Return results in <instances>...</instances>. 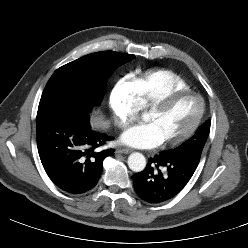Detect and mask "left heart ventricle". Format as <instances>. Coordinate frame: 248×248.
<instances>
[{"instance_id":"left-heart-ventricle-1","label":"left heart ventricle","mask_w":248,"mask_h":248,"mask_svg":"<svg viewBox=\"0 0 248 248\" xmlns=\"http://www.w3.org/2000/svg\"><path fill=\"white\" fill-rule=\"evenodd\" d=\"M199 112V101L185 96L172 102L165 109L144 115V121L153 125L161 141L174 139L184 133Z\"/></svg>"}]
</instances>
